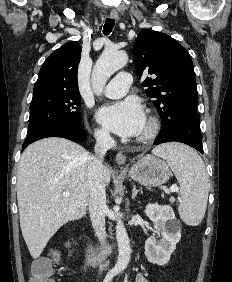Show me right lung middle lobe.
I'll return each instance as SVG.
<instances>
[{
    "label": "right lung middle lobe",
    "mask_w": 232,
    "mask_h": 282,
    "mask_svg": "<svg viewBox=\"0 0 232 282\" xmlns=\"http://www.w3.org/2000/svg\"><path fill=\"white\" fill-rule=\"evenodd\" d=\"M80 93L69 91L33 92L30 104L28 134L57 123L82 126Z\"/></svg>",
    "instance_id": "obj_1"
}]
</instances>
